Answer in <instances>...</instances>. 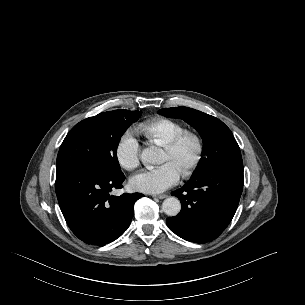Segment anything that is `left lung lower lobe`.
<instances>
[{
	"instance_id": "obj_1",
	"label": "left lung lower lobe",
	"mask_w": 305,
	"mask_h": 305,
	"mask_svg": "<svg viewBox=\"0 0 305 305\" xmlns=\"http://www.w3.org/2000/svg\"><path fill=\"white\" fill-rule=\"evenodd\" d=\"M243 188L242 158L226 160L194 175L174 192L182 203L181 212L166 219L179 237L196 243L217 238L232 220Z\"/></svg>"
}]
</instances>
